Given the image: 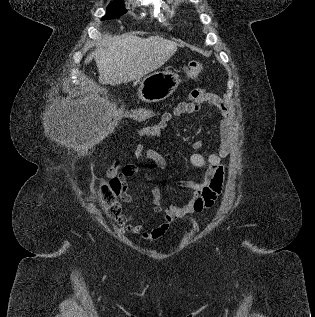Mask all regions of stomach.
<instances>
[{
  "instance_id": "1",
  "label": "stomach",
  "mask_w": 315,
  "mask_h": 317,
  "mask_svg": "<svg viewBox=\"0 0 315 317\" xmlns=\"http://www.w3.org/2000/svg\"><path fill=\"white\" fill-rule=\"evenodd\" d=\"M180 78L175 71H158L145 76L140 82L142 101L155 103L165 100L177 89Z\"/></svg>"
}]
</instances>
